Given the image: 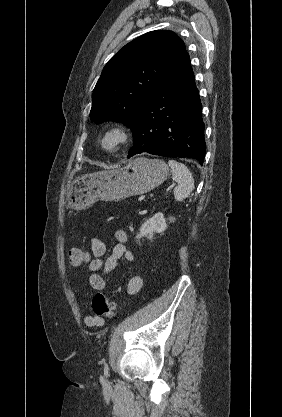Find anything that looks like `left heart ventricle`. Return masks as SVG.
<instances>
[{
	"label": "left heart ventricle",
	"mask_w": 282,
	"mask_h": 417,
	"mask_svg": "<svg viewBox=\"0 0 282 417\" xmlns=\"http://www.w3.org/2000/svg\"><path fill=\"white\" fill-rule=\"evenodd\" d=\"M112 142H113V140H112V139L107 140V144H108V145H111V144H112Z\"/></svg>",
	"instance_id": "left-heart-ventricle-1"
}]
</instances>
